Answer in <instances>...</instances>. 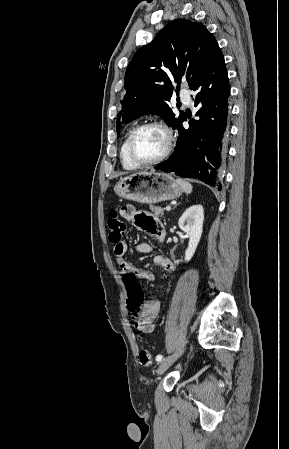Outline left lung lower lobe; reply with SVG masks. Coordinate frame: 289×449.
I'll return each mask as SVG.
<instances>
[{
  "label": "left lung lower lobe",
  "instance_id": "left-lung-lower-lobe-1",
  "mask_svg": "<svg viewBox=\"0 0 289 449\" xmlns=\"http://www.w3.org/2000/svg\"><path fill=\"white\" fill-rule=\"evenodd\" d=\"M197 92L194 106L198 120H191L185 129L183 116L174 129L179 137L172 155L155 169L195 178L221 190L218 170L228 138L229 79L224 57L217 47L202 65L198 77L189 86Z\"/></svg>",
  "mask_w": 289,
  "mask_h": 449
}]
</instances>
